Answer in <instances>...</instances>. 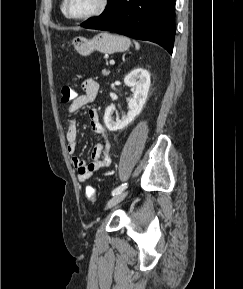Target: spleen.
Masks as SVG:
<instances>
[{"mask_svg":"<svg viewBox=\"0 0 243 289\" xmlns=\"http://www.w3.org/2000/svg\"><path fill=\"white\" fill-rule=\"evenodd\" d=\"M134 43H135V48L138 50L140 48L139 43H137V42H134Z\"/></svg>","mask_w":243,"mask_h":289,"instance_id":"1","label":"spleen"}]
</instances>
